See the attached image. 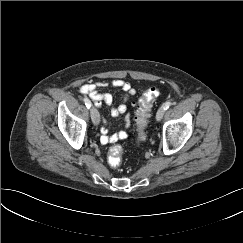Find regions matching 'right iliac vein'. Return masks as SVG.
<instances>
[{"mask_svg": "<svg viewBox=\"0 0 243 243\" xmlns=\"http://www.w3.org/2000/svg\"><path fill=\"white\" fill-rule=\"evenodd\" d=\"M90 115H91V119L94 125H99L100 123V115L98 110L95 107H92L90 109Z\"/></svg>", "mask_w": 243, "mask_h": 243, "instance_id": "right-iliac-vein-1", "label": "right iliac vein"}]
</instances>
